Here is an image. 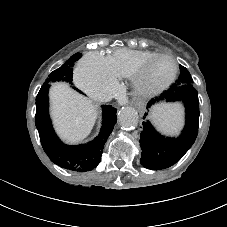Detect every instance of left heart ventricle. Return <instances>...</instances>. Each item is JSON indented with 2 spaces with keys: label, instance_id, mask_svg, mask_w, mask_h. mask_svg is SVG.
<instances>
[{
  "label": "left heart ventricle",
  "instance_id": "obj_1",
  "mask_svg": "<svg viewBox=\"0 0 227 227\" xmlns=\"http://www.w3.org/2000/svg\"><path fill=\"white\" fill-rule=\"evenodd\" d=\"M171 71V63L166 59H160L151 68V78L156 82L164 81L170 76Z\"/></svg>",
  "mask_w": 227,
  "mask_h": 227
}]
</instances>
